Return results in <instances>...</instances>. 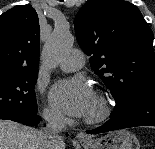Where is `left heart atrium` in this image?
Returning <instances> with one entry per match:
<instances>
[{
  "label": "left heart atrium",
  "mask_w": 155,
  "mask_h": 149,
  "mask_svg": "<svg viewBox=\"0 0 155 149\" xmlns=\"http://www.w3.org/2000/svg\"><path fill=\"white\" fill-rule=\"evenodd\" d=\"M93 98L91 88L80 78L58 82L50 94V100L55 106L76 117L86 116Z\"/></svg>",
  "instance_id": "left-heart-atrium-1"
}]
</instances>
